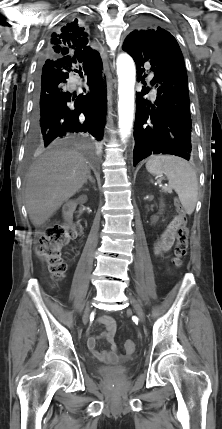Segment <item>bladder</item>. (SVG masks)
<instances>
[{"label":"bladder","instance_id":"31cf9c89","mask_svg":"<svg viewBox=\"0 0 222 429\" xmlns=\"http://www.w3.org/2000/svg\"><path fill=\"white\" fill-rule=\"evenodd\" d=\"M131 366H96L95 371L104 378H123L130 372Z\"/></svg>","mask_w":222,"mask_h":429}]
</instances>
